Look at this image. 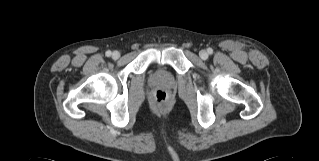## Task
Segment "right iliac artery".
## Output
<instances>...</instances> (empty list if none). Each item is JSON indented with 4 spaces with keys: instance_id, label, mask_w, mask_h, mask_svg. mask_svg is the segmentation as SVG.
Here are the masks:
<instances>
[{
    "instance_id": "obj_1",
    "label": "right iliac artery",
    "mask_w": 319,
    "mask_h": 161,
    "mask_svg": "<svg viewBox=\"0 0 319 161\" xmlns=\"http://www.w3.org/2000/svg\"><path fill=\"white\" fill-rule=\"evenodd\" d=\"M111 54H112V53H111L110 50L106 51V56H107V57L111 56Z\"/></svg>"
}]
</instances>
